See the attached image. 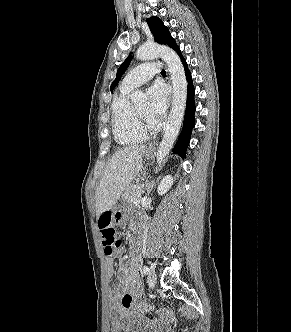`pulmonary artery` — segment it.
Instances as JSON below:
<instances>
[{
	"label": "pulmonary artery",
	"mask_w": 291,
	"mask_h": 332,
	"mask_svg": "<svg viewBox=\"0 0 291 332\" xmlns=\"http://www.w3.org/2000/svg\"><path fill=\"white\" fill-rule=\"evenodd\" d=\"M161 65L157 62H146L133 68L123 79L121 87L132 90L150 80L155 74L160 73Z\"/></svg>",
	"instance_id": "1"
}]
</instances>
